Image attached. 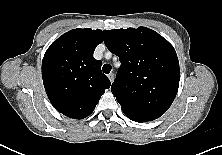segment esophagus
<instances>
[{"label":"esophagus","mask_w":222,"mask_h":155,"mask_svg":"<svg viewBox=\"0 0 222 155\" xmlns=\"http://www.w3.org/2000/svg\"><path fill=\"white\" fill-rule=\"evenodd\" d=\"M108 78H109L110 82L113 83V81H114V74L113 73L108 74Z\"/></svg>","instance_id":"1"}]
</instances>
